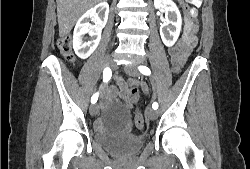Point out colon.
Returning a JSON list of instances; mask_svg holds the SVG:
<instances>
[{"instance_id": "colon-1", "label": "colon", "mask_w": 250, "mask_h": 169, "mask_svg": "<svg viewBox=\"0 0 250 169\" xmlns=\"http://www.w3.org/2000/svg\"><path fill=\"white\" fill-rule=\"evenodd\" d=\"M180 6H182L183 14L187 15L188 23H193L196 19V15L193 14V8H191V5L187 3V0H180ZM71 36L69 34H64L63 37H60L57 39V49L59 53L67 60V61H73L74 55L72 52V43H71ZM186 38L189 42L195 43L196 37L193 35V30L188 27ZM181 68L177 64H173L170 68V71L173 72V74H180ZM128 95L132 96L133 101H139V90H128ZM137 111H135L134 120H135V126L139 131H142L144 129V115H142V111H138L139 107H136Z\"/></svg>"}]
</instances>
